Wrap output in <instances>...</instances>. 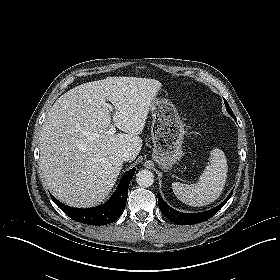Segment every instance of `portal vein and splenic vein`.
<instances>
[{
	"label": "portal vein and splenic vein",
	"instance_id": "portal-vein-and-splenic-vein-1",
	"mask_svg": "<svg viewBox=\"0 0 280 280\" xmlns=\"http://www.w3.org/2000/svg\"><path fill=\"white\" fill-rule=\"evenodd\" d=\"M106 133L107 135H114L116 133V128L114 126H111V128Z\"/></svg>",
	"mask_w": 280,
	"mask_h": 280
}]
</instances>
